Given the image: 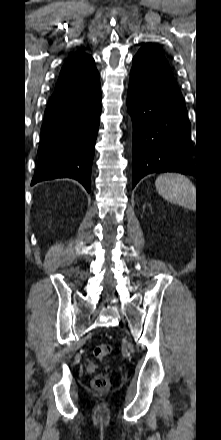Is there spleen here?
<instances>
[{"mask_svg":"<svg viewBox=\"0 0 221 440\" xmlns=\"http://www.w3.org/2000/svg\"><path fill=\"white\" fill-rule=\"evenodd\" d=\"M155 186L164 199L189 209L195 208L196 188L184 175L161 174L156 179Z\"/></svg>","mask_w":221,"mask_h":440,"instance_id":"3e777b00","label":"spleen"}]
</instances>
